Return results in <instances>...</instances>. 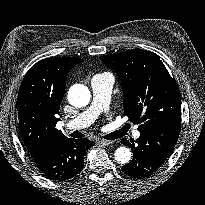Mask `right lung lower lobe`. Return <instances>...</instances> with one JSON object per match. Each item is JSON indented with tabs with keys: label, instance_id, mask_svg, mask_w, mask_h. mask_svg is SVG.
Returning <instances> with one entry per match:
<instances>
[{
	"label": "right lung lower lobe",
	"instance_id": "1",
	"mask_svg": "<svg viewBox=\"0 0 205 205\" xmlns=\"http://www.w3.org/2000/svg\"><path fill=\"white\" fill-rule=\"evenodd\" d=\"M95 143L87 138L70 139L50 143L37 148L30 156L40 172L51 180L65 181L81 172L84 155Z\"/></svg>",
	"mask_w": 205,
	"mask_h": 205
}]
</instances>
